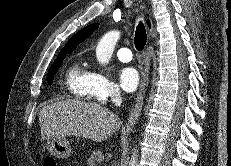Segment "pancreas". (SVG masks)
<instances>
[{"instance_id":"pancreas-1","label":"pancreas","mask_w":231,"mask_h":166,"mask_svg":"<svg viewBox=\"0 0 231 166\" xmlns=\"http://www.w3.org/2000/svg\"><path fill=\"white\" fill-rule=\"evenodd\" d=\"M104 159V156L101 151L95 150L91 152V155L87 159L88 166H97Z\"/></svg>"}]
</instances>
